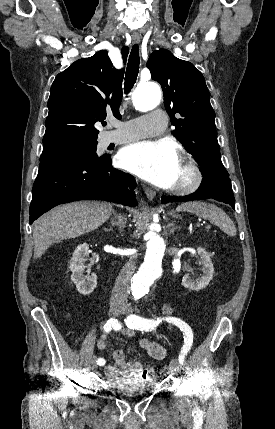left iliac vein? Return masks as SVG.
<instances>
[{"label": "left iliac vein", "mask_w": 275, "mask_h": 429, "mask_svg": "<svg viewBox=\"0 0 275 429\" xmlns=\"http://www.w3.org/2000/svg\"><path fill=\"white\" fill-rule=\"evenodd\" d=\"M132 309L128 306H124L121 310L122 314H129ZM170 370L174 375H177L179 372V362L177 359H172L170 362Z\"/></svg>", "instance_id": "4c4485c4"}]
</instances>
